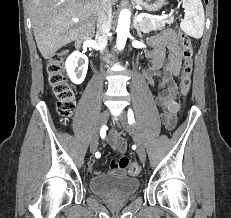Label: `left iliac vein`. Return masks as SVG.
Segmentation results:
<instances>
[{
    "instance_id": "4c4485c4",
    "label": "left iliac vein",
    "mask_w": 231,
    "mask_h": 218,
    "mask_svg": "<svg viewBox=\"0 0 231 218\" xmlns=\"http://www.w3.org/2000/svg\"><path fill=\"white\" fill-rule=\"evenodd\" d=\"M120 121H121L123 128L133 137L135 144L137 146L138 156H139L141 162H144L146 159V151H145L143 138H142V135H141L138 127L135 124H133V123L130 124L127 121V117H126L125 113H123L121 115Z\"/></svg>"
}]
</instances>
